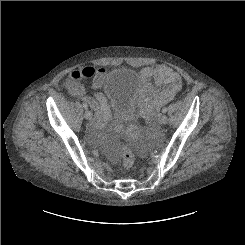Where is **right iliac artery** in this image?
Segmentation results:
<instances>
[{
	"instance_id": "82829eb1",
	"label": "right iliac artery",
	"mask_w": 245,
	"mask_h": 245,
	"mask_svg": "<svg viewBox=\"0 0 245 245\" xmlns=\"http://www.w3.org/2000/svg\"><path fill=\"white\" fill-rule=\"evenodd\" d=\"M83 107H84L85 109H87V108H88V106H87V104H86V103H83Z\"/></svg>"
}]
</instances>
